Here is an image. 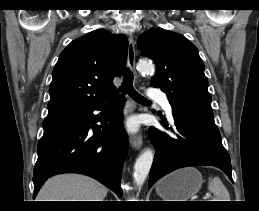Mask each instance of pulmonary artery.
Wrapping results in <instances>:
<instances>
[{
  "label": "pulmonary artery",
  "instance_id": "e3ab8cb5",
  "mask_svg": "<svg viewBox=\"0 0 259 211\" xmlns=\"http://www.w3.org/2000/svg\"><path fill=\"white\" fill-rule=\"evenodd\" d=\"M148 95L151 99L157 100L163 105L167 116L171 121H173L172 107L169 101L167 100V98L165 97V95L161 91L156 89H151Z\"/></svg>",
  "mask_w": 259,
  "mask_h": 211
}]
</instances>
